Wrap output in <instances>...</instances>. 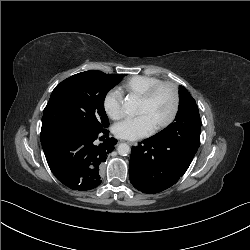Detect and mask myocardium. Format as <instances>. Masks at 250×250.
Here are the masks:
<instances>
[{
	"label": "myocardium",
	"instance_id": "f54148a6",
	"mask_svg": "<svg viewBox=\"0 0 250 250\" xmlns=\"http://www.w3.org/2000/svg\"><path fill=\"white\" fill-rule=\"evenodd\" d=\"M163 87H167L170 89L173 96V107L168 118L153 128L154 132H159L164 130L165 128L169 127L176 119L180 107L179 90L174 83L169 81H161L151 86L139 97V101L144 103L149 102L154 97V95Z\"/></svg>",
	"mask_w": 250,
	"mask_h": 250
}]
</instances>
